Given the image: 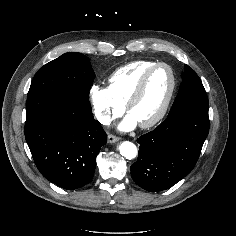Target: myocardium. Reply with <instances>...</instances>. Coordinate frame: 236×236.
I'll use <instances>...</instances> for the list:
<instances>
[{
  "mask_svg": "<svg viewBox=\"0 0 236 236\" xmlns=\"http://www.w3.org/2000/svg\"><path fill=\"white\" fill-rule=\"evenodd\" d=\"M161 67L166 68L170 73V77H171L170 89H169L168 95L164 101V104H163L162 108L160 109V111L158 112V114L153 119L139 124L140 127L144 128V129H148V128H151V127H154L155 125H157L165 117V115L170 107V104L172 102V99H173V96H174V93L176 90V85H177L176 75H175V72L172 69V67L170 65H168L167 63L159 62V63L154 64L150 68H148L144 72L142 77L140 78L137 86L135 87L134 91L132 92V94L130 95L129 99L127 100V102L125 104L126 111L129 113L132 106L139 100V98L143 94L146 84H147L150 76L152 75V73Z\"/></svg>",
  "mask_w": 236,
  "mask_h": 236,
  "instance_id": "obj_1",
  "label": "myocardium"
}]
</instances>
